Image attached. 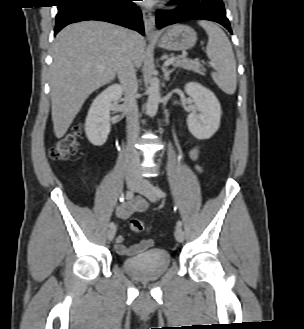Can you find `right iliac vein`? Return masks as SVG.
Segmentation results:
<instances>
[{
	"mask_svg": "<svg viewBox=\"0 0 304 329\" xmlns=\"http://www.w3.org/2000/svg\"><path fill=\"white\" fill-rule=\"evenodd\" d=\"M127 186L129 189H135L138 185V180L135 177L129 176L126 179ZM116 234V226L110 228L107 233L108 240H112Z\"/></svg>",
	"mask_w": 304,
	"mask_h": 329,
	"instance_id": "1",
	"label": "right iliac vein"
}]
</instances>
